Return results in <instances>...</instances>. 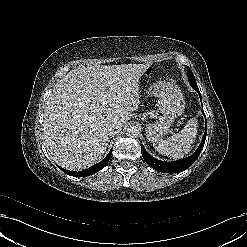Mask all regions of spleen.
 I'll return each mask as SVG.
<instances>
[{"mask_svg": "<svg viewBox=\"0 0 247 247\" xmlns=\"http://www.w3.org/2000/svg\"><path fill=\"white\" fill-rule=\"evenodd\" d=\"M197 125L195 118L190 119L179 133L154 144L155 149L171 159L182 158L192 150L197 135Z\"/></svg>", "mask_w": 247, "mask_h": 247, "instance_id": "obj_1", "label": "spleen"}]
</instances>
